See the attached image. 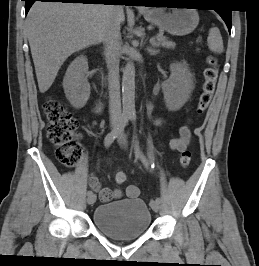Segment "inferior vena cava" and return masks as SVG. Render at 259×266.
<instances>
[{
    "label": "inferior vena cava",
    "instance_id": "obj_1",
    "mask_svg": "<svg viewBox=\"0 0 259 266\" xmlns=\"http://www.w3.org/2000/svg\"><path fill=\"white\" fill-rule=\"evenodd\" d=\"M121 7V5H110L103 38L108 68L110 120L116 123L122 120L118 67V54L121 46L119 20Z\"/></svg>",
    "mask_w": 259,
    "mask_h": 266
}]
</instances>
